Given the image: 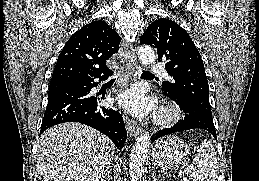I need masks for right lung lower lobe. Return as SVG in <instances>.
I'll return each mask as SVG.
<instances>
[{
  "instance_id": "obj_1",
  "label": "right lung lower lobe",
  "mask_w": 259,
  "mask_h": 181,
  "mask_svg": "<svg viewBox=\"0 0 259 181\" xmlns=\"http://www.w3.org/2000/svg\"><path fill=\"white\" fill-rule=\"evenodd\" d=\"M112 73L75 79L49 95L40 134L56 124L79 122L102 132L121 150L127 131L119 110L99 106L100 99L90 94L98 85L94 79L105 80Z\"/></svg>"
}]
</instances>
